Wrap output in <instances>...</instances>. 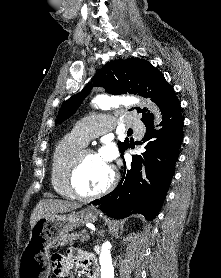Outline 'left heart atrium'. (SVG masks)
Returning <instances> with one entry per match:
<instances>
[{
    "mask_svg": "<svg viewBox=\"0 0 221 278\" xmlns=\"http://www.w3.org/2000/svg\"><path fill=\"white\" fill-rule=\"evenodd\" d=\"M106 163H110L114 156V148L110 145L103 147L98 154Z\"/></svg>",
    "mask_w": 221,
    "mask_h": 278,
    "instance_id": "39dd6f15",
    "label": "left heart atrium"
}]
</instances>
